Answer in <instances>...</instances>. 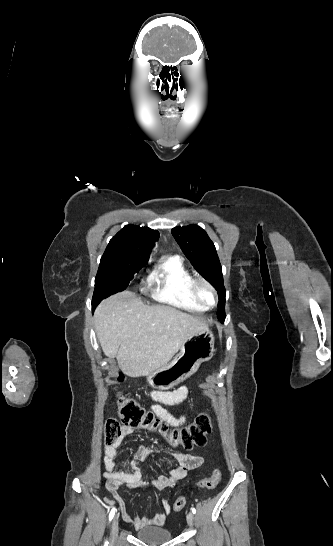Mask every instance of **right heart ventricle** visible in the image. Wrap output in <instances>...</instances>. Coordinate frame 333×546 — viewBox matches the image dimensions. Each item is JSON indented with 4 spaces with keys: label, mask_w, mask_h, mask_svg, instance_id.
<instances>
[{
    "label": "right heart ventricle",
    "mask_w": 333,
    "mask_h": 546,
    "mask_svg": "<svg viewBox=\"0 0 333 546\" xmlns=\"http://www.w3.org/2000/svg\"><path fill=\"white\" fill-rule=\"evenodd\" d=\"M192 276L181 259L168 258L153 272L152 297L158 303L189 312H204L207 308L197 303L188 286Z\"/></svg>",
    "instance_id": "e07e8e85"
}]
</instances>
